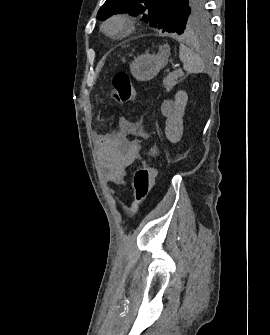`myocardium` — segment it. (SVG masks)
<instances>
[{"mask_svg":"<svg viewBox=\"0 0 270 335\" xmlns=\"http://www.w3.org/2000/svg\"><path fill=\"white\" fill-rule=\"evenodd\" d=\"M134 27L133 19L123 14H116L105 21L102 29L108 37L122 38L131 33Z\"/></svg>","mask_w":270,"mask_h":335,"instance_id":"obj_1","label":"myocardium"}]
</instances>
